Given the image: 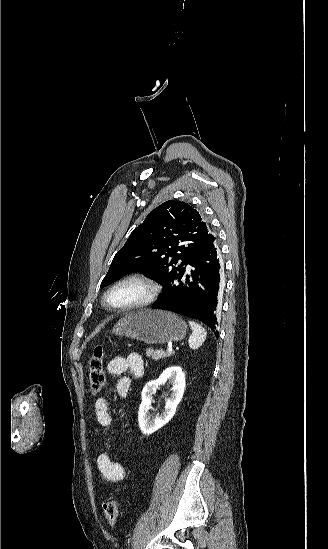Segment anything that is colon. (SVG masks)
I'll use <instances>...</instances> for the list:
<instances>
[{
  "label": "colon",
  "mask_w": 328,
  "mask_h": 549,
  "mask_svg": "<svg viewBox=\"0 0 328 549\" xmlns=\"http://www.w3.org/2000/svg\"><path fill=\"white\" fill-rule=\"evenodd\" d=\"M105 348L96 346L89 364V382L92 393L100 392L106 382L104 373ZM119 513L118 502L116 499H109L104 503V515L109 525L114 526L117 522Z\"/></svg>",
  "instance_id": "obj_1"
}]
</instances>
